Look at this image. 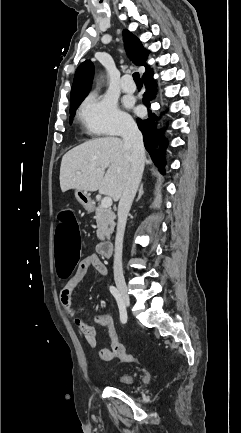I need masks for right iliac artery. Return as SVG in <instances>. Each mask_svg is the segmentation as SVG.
I'll return each instance as SVG.
<instances>
[{"label": "right iliac artery", "mask_w": 241, "mask_h": 433, "mask_svg": "<svg viewBox=\"0 0 241 433\" xmlns=\"http://www.w3.org/2000/svg\"><path fill=\"white\" fill-rule=\"evenodd\" d=\"M110 292L117 301L119 311H120V320L122 323H125L127 321V312H126L125 306L123 304L121 295H120L119 291L117 290V288L114 286H110Z\"/></svg>", "instance_id": "1"}]
</instances>
